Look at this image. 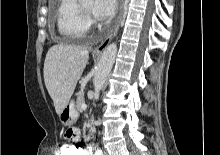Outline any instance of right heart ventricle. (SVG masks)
<instances>
[{
	"instance_id": "right-heart-ventricle-1",
	"label": "right heart ventricle",
	"mask_w": 220,
	"mask_h": 155,
	"mask_svg": "<svg viewBox=\"0 0 220 155\" xmlns=\"http://www.w3.org/2000/svg\"><path fill=\"white\" fill-rule=\"evenodd\" d=\"M77 0H59L56 9L58 32L69 40L80 39L88 31V22L77 9Z\"/></svg>"
}]
</instances>
